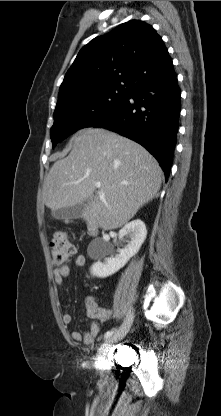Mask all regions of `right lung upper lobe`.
I'll use <instances>...</instances> for the list:
<instances>
[{
	"label": "right lung upper lobe",
	"mask_w": 221,
	"mask_h": 416,
	"mask_svg": "<svg viewBox=\"0 0 221 416\" xmlns=\"http://www.w3.org/2000/svg\"><path fill=\"white\" fill-rule=\"evenodd\" d=\"M172 71L162 38L151 25L131 20L80 50L60 86L57 106L104 90L130 91Z\"/></svg>",
	"instance_id": "cb5924a9"
}]
</instances>
